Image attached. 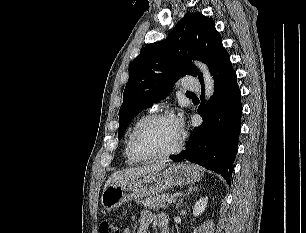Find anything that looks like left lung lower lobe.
Wrapping results in <instances>:
<instances>
[{
	"instance_id": "obj_1",
	"label": "left lung lower lobe",
	"mask_w": 306,
	"mask_h": 233,
	"mask_svg": "<svg viewBox=\"0 0 306 233\" xmlns=\"http://www.w3.org/2000/svg\"><path fill=\"white\" fill-rule=\"evenodd\" d=\"M215 91L208 104L202 102L198 113L203 116L201 126L195 128L185 151L171 159H187L221 174L230 185L238 138L241 130L242 105L237 76L226 52L211 71ZM201 98H204V83Z\"/></svg>"
}]
</instances>
